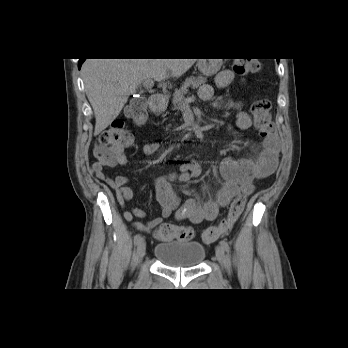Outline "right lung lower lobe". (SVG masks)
Segmentation results:
<instances>
[{"label":"right lung lower lobe","instance_id":"1","mask_svg":"<svg viewBox=\"0 0 348 348\" xmlns=\"http://www.w3.org/2000/svg\"><path fill=\"white\" fill-rule=\"evenodd\" d=\"M84 60H85V59H80V60H79V65H78V68H79V69H80L82 63L84 62Z\"/></svg>","mask_w":348,"mask_h":348}]
</instances>
